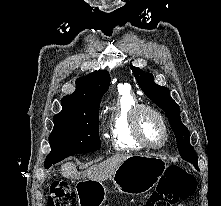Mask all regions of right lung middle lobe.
Returning <instances> with one entry per match:
<instances>
[{"label": "right lung middle lobe", "instance_id": "1", "mask_svg": "<svg viewBox=\"0 0 221 206\" xmlns=\"http://www.w3.org/2000/svg\"><path fill=\"white\" fill-rule=\"evenodd\" d=\"M98 118L99 107L56 114L50 134L51 152L46 157L45 166H51L70 155L100 149Z\"/></svg>", "mask_w": 221, "mask_h": 206}]
</instances>
